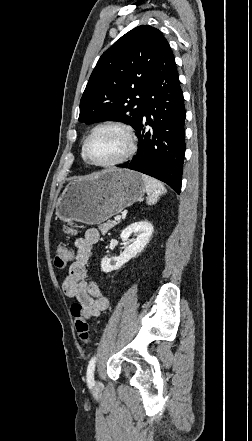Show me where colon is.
<instances>
[{
  "label": "colon",
  "mask_w": 252,
  "mask_h": 441,
  "mask_svg": "<svg viewBox=\"0 0 252 441\" xmlns=\"http://www.w3.org/2000/svg\"><path fill=\"white\" fill-rule=\"evenodd\" d=\"M66 233L70 235L76 234V229L71 223L65 225ZM56 255L54 264L58 268H64L73 259L72 250L65 244L59 243L56 246ZM71 312L75 320L76 331L80 340L87 343L90 339V326L84 314L82 305L79 302H75L71 306Z\"/></svg>",
  "instance_id": "colon-1"
}]
</instances>
